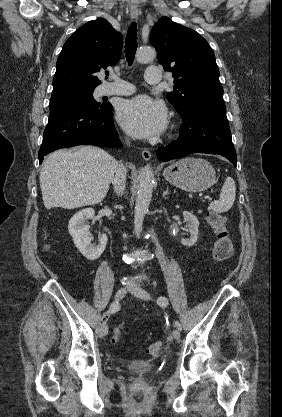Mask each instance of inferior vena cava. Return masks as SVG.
<instances>
[{
	"instance_id": "1",
	"label": "inferior vena cava",
	"mask_w": 282,
	"mask_h": 417,
	"mask_svg": "<svg viewBox=\"0 0 282 417\" xmlns=\"http://www.w3.org/2000/svg\"><path fill=\"white\" fill-rule=\"evenodd\" d=\"M126 168L123 164H118L115 172L114 178H112V182L114 184V188L117 194H122L125 184H126Z\"/></svg>"
}]
</instances>
